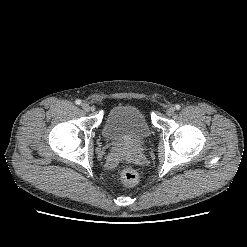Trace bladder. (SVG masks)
I'll use <instances>...</instances> for the list:
<instances>
[{
	"mask_svg": "<svg viewBox=\"0 0 247 247\" xmlns=\"http://www.w3.org/2000/svg\"><path fill=\"white\" fill-rule=\"evenodd\" d=\"M102 133L108 141L135 146L149 139L152 132L145 115L138 108L118 105L108 112Z\"/></svg>",
	"mask_w": 247,
	"mask_h": 247,
	"instance_id": "1",
	"label": "bladder"
}]
</instances>
